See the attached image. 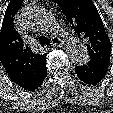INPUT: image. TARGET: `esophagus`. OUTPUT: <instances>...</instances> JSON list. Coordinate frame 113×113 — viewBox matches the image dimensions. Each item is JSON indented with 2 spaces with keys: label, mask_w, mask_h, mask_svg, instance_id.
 Returning a JSON list of instances; mask_svg holds the SVG:
<instances>
[{
  "label": "esophagus",
  "mask_w": 113,
  "mask_h": 113,
  "mask_svg": "<svg viewBox=\"0 0 113 113\" xmlns=\"http://www.w3.org/2000/svg\"><path fill=\"white\" fill-rule=\"evenodd\" d=\"M63 40L59 37H53L51 39V45L54 46V47H62L63 46Z\"/></svg>",
  "instance_id": "34e87169"
}]
</instances>
